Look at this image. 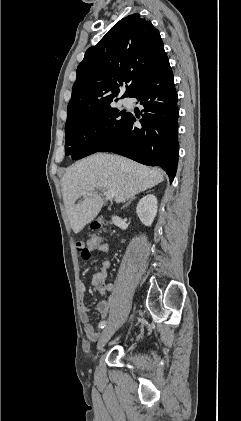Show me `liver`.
Wrapping results in <instances>:
<instances>
[{
	"label": "liver",
	"mask_w": 241,
	"mask_h": 421,
	"mask_svg": "<svg viewBox=\"0 0 241 421\" xmlns=\"http://www.w3.org/2000/svg\"><path fill=\"white\" fill-rule=\"evenodd\" d=\"M163 180L160 169L118 155L96 153L82 159L62 178L63 201L72 230L78 233L101 211L104 200L97 189L113 191L116 202H125Z\"/></svg>",
	"instance_id": "liver-1"
}]
</instances>
